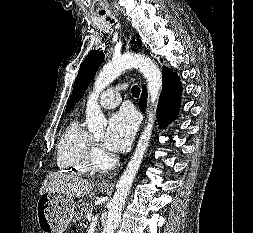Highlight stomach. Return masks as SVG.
<instances>
[{"label":"stomach","instance_id":"stomach-1","mask_svg":"<svg viewBox=\"0 0 253 233\" xmlns=\"http://www.w3.org/2000/svg\"><path fill=\"white\" fill-rule=\"evenodd\" d=\"M100 190L106 191L103 188ZM36 211L42 233H63L73 218L75 202L63 194L45 192L38 199Z\"/></svg>","mask_w":253,"mask_h":233}]
</instances>
